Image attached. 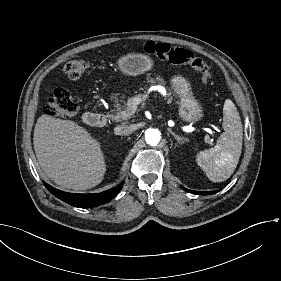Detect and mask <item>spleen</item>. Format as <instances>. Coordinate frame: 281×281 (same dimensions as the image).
<instances>
[{
	"label": "spleen",
	"mask_w": 281,
	"mask_h": 281,
	"mask_svg": "<svg viewBox=\"0 0 281 281\" xmlns=\"http://www.w3.org/2000/svg\"><path fill=\"white\" fill-rule=\"evenodd\" d=\"M224 132L214 148L201 151L196 161L212 182H223L234 172L242 151L243 129L235 104L225 100L223 107Z\"/></svg>",
	"instance_id": "obj_1"
}]
</instances>
